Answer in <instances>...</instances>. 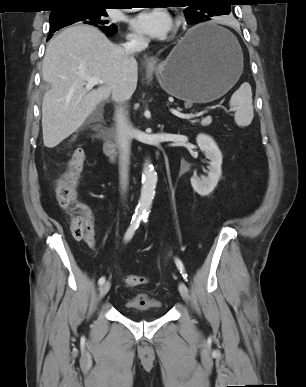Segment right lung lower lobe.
<instances>
[{
    "mask_svg": "<svg viewBox=\"0 0 306 387\" xmlns=\"http://www.w3.org/2000/svg\"><path fill=\"white\" fill-rule=\"evenodd\" d=\"M104 33H106V35H108V36H112V35H114L116 32H117V29H115V30H110V31H103ZM52 37V35L51 34H49V36H48V39H50Z\"/></svg>",
    "mask_w": 306,
    "mask_h": 387,
    "instance_id": "1",
    "label": "right lung lower lobe"
}]
</instances>
